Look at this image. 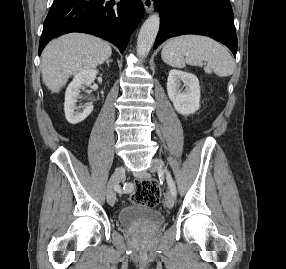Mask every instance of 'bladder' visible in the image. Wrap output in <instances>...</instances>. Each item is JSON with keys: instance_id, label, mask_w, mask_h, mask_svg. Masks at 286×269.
Wrapping results in <instances>:
<instances>
[{"instance_id": "1", "label": "bladder", "mask_w": 286, "mask_h": 269, "mask_svg": "<svg viewBox=\"0 0 286 269\" xmlns=\"http://www.w3.org/2000/svg\"><path fill=\"white\" fill-rule=\"evenodd\" d=\"M118 222L128 227L157 228L164 224L165 217L158 210L133 204L119 210Z\"/></svg>"}]
</instances>
